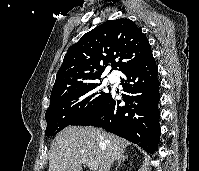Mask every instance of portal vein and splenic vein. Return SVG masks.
I'll use <instances>...</instances> for the list:
<instances>
[{
	"label": "portal vein and splenic vein",
	"mask_w": 199,
	"mask_h": 171,
	"mask_svg": "<svg viewBox=\"0 0 199 171\" xmlns=\"http://www.w3.org/2000/svg\"><path fill=\"white\" fill-rule=\"evenodd\" d=\"M86 165H87L92 171H96L97 168H98L97 164L94 163V162L87 163Z\"/></svg>",
	"instance_id": "1"
}]
</instances>
